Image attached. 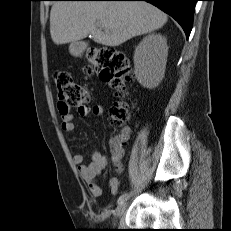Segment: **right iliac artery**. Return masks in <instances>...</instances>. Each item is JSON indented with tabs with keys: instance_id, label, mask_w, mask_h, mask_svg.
Returning <instances> with one entry per match:
<instances>
[{
	"instance_id": "82829eb1",
	"label": "right iliac artery",
	"mask_w": 231,
	"mask_h": 231,
	"mask_svg": "<svg viewBox=\"0 0 231 231\" xmlns=\"http://www.w3.org/2000/svg\"><path fill=\"white\" fill-rule=\"evenodd\" d=\"M130 194L129 193H124L118 198V203H121L129 198Z\"/></svg>"
}]
</instances>
